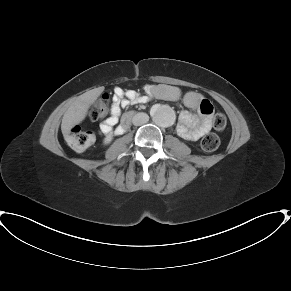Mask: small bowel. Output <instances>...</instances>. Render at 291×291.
Wrapping results in <instances>:
<instances>
[{
  "mask_svg": "<svg viewBox=\"0 0 291 291\" xmlns=\"http://www.w3.org/2000/svg\"><path fill=\"white\" fill-rule=\"evenodd\" d=\"M145 95L134 90H123L116 87L113 91L111 115L100 125L103 133H121L119 126H116L121 116L122 108L131 104H137L146 101L147 97H154L166 101H178L182 99L184 105L195 111L192 114L189 111H182L176 124L177 133L185 140L197 141L203 135L207 134L212 127V118L206 113L210 107L208 100L197 91H189L184 95L178 87L168 84L158 86H146Z\"/></svg>",
  "mask_w": 291,
  "mask_h": 291,
  "instance_id": "small-bowel-1",
  "label": "small bowel"
}]
</instances>
